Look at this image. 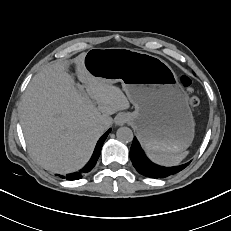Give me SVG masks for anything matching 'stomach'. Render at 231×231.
<instances>
[{"instance_id": "0dacf381", "label": "stomach", "mask_w": 231, "mask_h": 231, "mask_svg": "<svg viewBox=\"0 0 231 231\" xmlns=\"http://www.w3.org/2000/svg\"><path fill=\"white\" fill-rule=\"evenodd\" d=\"M84 66L107 83L121 82L135 108L129 123L147 151L178 154L191 145L195 123L188 96L166 62L132 49L101 48L86 53Z\"/></svg>"}]
</instances>
